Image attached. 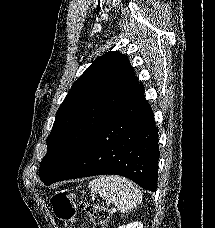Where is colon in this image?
<instances>
[{"instance_id":"obj_1","label":"colon","mask_w":215,"mask_h":228,"mask_svg":"<svg viewBox=\"0 0 215 228\" xmlns=\"http://www.w3.org/2000/svg\"><path fill=\"white\" fill-rule=\"evenodd\" d=\"M52 207L55 215L63 222L75 220L76 210L64 192L52 196ZM88 212L94 228H101L110 224L109 210L102 204L88 205Z\"/></svg>"}]
</instances>
